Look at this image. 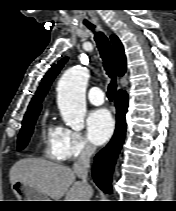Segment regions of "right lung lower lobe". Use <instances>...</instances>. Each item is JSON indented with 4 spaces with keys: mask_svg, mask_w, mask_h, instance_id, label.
Masks as SVG:
<instances>
[{
    "mask_svg": "<svg viewBox=\"0 0 176 211\" xmlns=\"http://www.w3.org/2000/svg\"><path fill=\"white\" fill-rule=\"evenodd\" d=\"M115 105L117 109V122L115 133L109 144L95 157L92 175L97 186L105 193H111V178L116 158L122 147L125 132V114L128 108V96L125 91H119L116 95Z\"/></svg>",
    "mask_w": 176,
    "mask_h": 211,
    "instance_id": "obj_1",
    "label": "right lung lower lobe"
}]
</instances>
